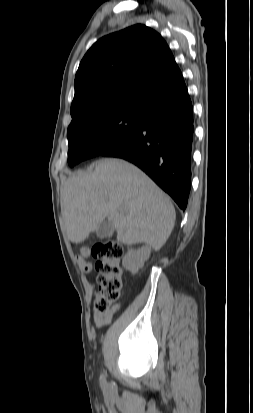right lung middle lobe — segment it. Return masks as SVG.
Returning <instances> with one entry per match:
<instances>
[{
    "label": "right lung middle lobe",
    "instance_id": "right-lung-middle-lobe-1",
    "mask_svg": "<svg viewBox=\"0 0 253 413\" xmlns=\"http://www.w3.org/2000/svg\"><path fill=\"white\" fill-rule=\"evenodd\" d=\"M146 110L109 107L72 120L68 127V164L101 155L141 128Z\"/></svg>",
    "mask_w": 253,
    "mask_h": 413
}]
</instances>
